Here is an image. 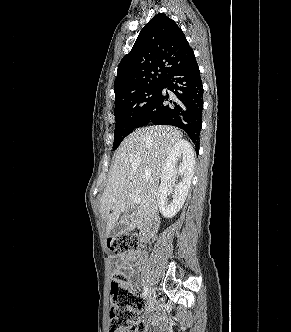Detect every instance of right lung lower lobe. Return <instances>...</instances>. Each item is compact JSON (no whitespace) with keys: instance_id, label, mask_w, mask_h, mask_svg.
<instances>
[{"instance_id":"right-lung-lower-lobe-1","label":"right lung lower lobe","mask_w":291,"mask_h":332,"mask_svg":"<svg viewBox=\"0 0 291 332\" xmlns=\"http://www.w3.org/2000/svg\"><path fill=\"white\" fill-rule=\"evenodd\" d=\"M164 88L172 91L173 95L165 93ZM202 110L203 86L194 58L165 78L157 98L144 113L138 127L151 123L176 126L189 135L198 151Z\"/></svg>"}]
</instances>
